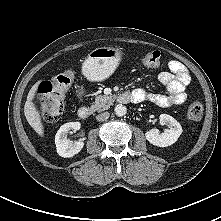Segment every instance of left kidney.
Instances as JSON below:
<instances>
[{"instance_id":"obj_1","label":"left kidney","mask_w":221,"mask_h":221,"mask_svg":"<svg viewBox=\"0 0 221 221\" xmlns=\"http://www.w3.org/2000/svg\"><path fill=\"white\" fill-rule=\"evenodd\" d=\"M160 124L168 128L162 133L158 129H151L145 133L146 139L153 145L167 147L174 144L182 133V127L172 116L161 114L159 117Z\"/></svg>"}]
</instances>
